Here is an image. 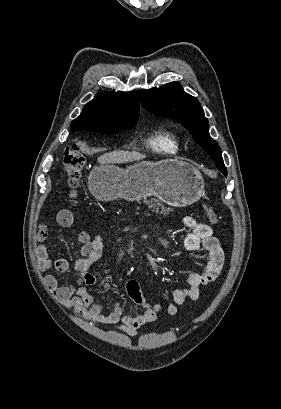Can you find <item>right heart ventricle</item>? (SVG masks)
<instances>
[{"mask_svg": "<svg viewBox=\"0 0 281 409\" xmlns=\"http://www.w3.org/2000/svg\"><path fill=\"white\" fill-rule=\"evenodd\" d=\"M158 147L165 152L176 153L179 150V143L174 136L166 134L159 137Z\"/></svg>", "mask_w": 281, "mask_h": 409, "instance_id": "1", "label": "right heart ventricle"}]
</instances>
